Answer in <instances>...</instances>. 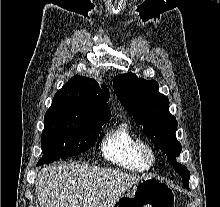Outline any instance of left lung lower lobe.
<instances>
[{
  "label": "left lung lower lobe",
  "instance_id": "0a47b994",
  "mask_svg": "<svg viewBox=\"0 0 220 207\" xmlns=\"http://www.w3.org/2000/svg\"><path fill=\"white\" fill-rule=\"evenodd\" d=\"M174 169L181 175L184 186L188 189V182L190 178V172L185 166L174 167Z\"/></svg>",
  "mask_w": 220,
  "mask_h": 207
}]
</instances>
